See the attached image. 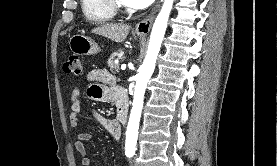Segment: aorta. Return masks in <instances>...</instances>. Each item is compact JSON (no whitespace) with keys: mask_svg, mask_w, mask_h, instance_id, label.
I'll return each mask as SVG.
<instances>
[{"mask_svg":"<svg viewBox=\"0 0 277 166\" xmlns=\"http://www.w3.org/2000/svg\"><path fill=\"white\" fill-rule=\"evenodd\" d=\"M173 2L174 0H164L151 31L146 57L136 76L133 105L126 131V150H135L145 90L155 69Z\"/></svg>","mask_w":277,"mask_h":166,"instance_id":"1","label":"aorta"}]
</instances>
